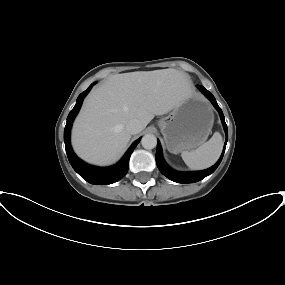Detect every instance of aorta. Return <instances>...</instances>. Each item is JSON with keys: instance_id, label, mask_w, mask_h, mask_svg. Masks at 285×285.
<instances>
[{"instance_id": "obj_1", "label": "aorta", "mask_w": 285, "mask_h": 285, "mask_svg": "<svg viewBox=\"0 0 285 285\" xmlns=\"http://www.w3.org/2000/svg\"><path fill=\"white\" fill-rule=\"evenodd\" d=\"M141 144L145 149H153L157 145V139L153 134H146L143 136Z\"/></svg>"}]
</instances>
